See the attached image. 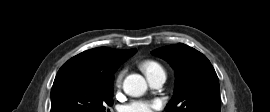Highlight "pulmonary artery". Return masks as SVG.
Returning <instances> with one entry per match:
<instances>
[{"label":"pulmonary artery","mask_w":270,"mask_h":112,"mask_svg":"<svg viewBox=\"0 0 270 112\" xmlns=\"http://www.w3.org/2000/svg\"><path fill=\"white\" fill-rule=\"evenodd\" d=\"M147 79H148L149 84L153 88H160L166 80V74L164 71H161V72L147 76Z\"/></svg>","instance_id":"obj_1"}]
</instances>
